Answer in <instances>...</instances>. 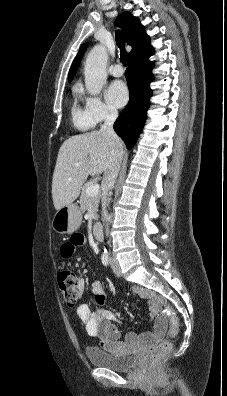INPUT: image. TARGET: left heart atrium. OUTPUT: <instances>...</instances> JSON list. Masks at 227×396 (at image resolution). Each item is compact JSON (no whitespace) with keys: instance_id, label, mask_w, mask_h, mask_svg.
I'll return each mask as SVG.
<instances>
[{"instance_id":"obj_1","label":"left heart atrium","mask_w":227,"mask_h":396,"mask_svg":"<svg viewBox=\"0 0 227 396\" xmlns=\"http://www.w3.org/2000/svg\"><path fill=\"white\" fill-rule=\"evenodd\" d=\"M107 101L115 107L124 106L129 98L126 85L122 81L112 82L106 90Z\"/></svg>"}]
</instances>
